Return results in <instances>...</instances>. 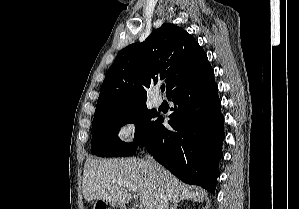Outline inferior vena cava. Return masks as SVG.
<instances>
[{"instance_id":"obj_1","label":"inferior vena cava","mask_w":299,"mask_h":209,"mask_svg":"<svg viewBox=\"0 0 299 209\" xmlns=\"http://www.w3.org/2000/svg\"><path fill=\"white\" fill-rule=\"evenodd\" d=\"M145 159L149 163L150 167L154 170V172H156V174L160 177L162 172L161 166L158 165L149 154H146ZM168 207H169V199L162 187L161 193L157 198V202L155 204L154 209H169Z\"/></svg>"}]
</instances>
